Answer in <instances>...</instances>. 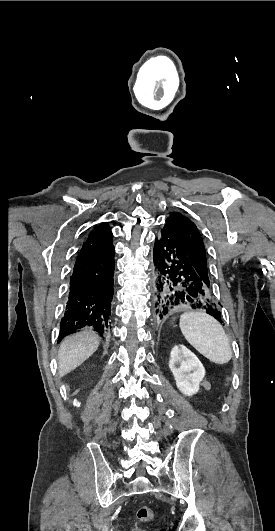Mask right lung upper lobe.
<instances>
[{
  "label": "right lung upper lobe",
  "mask_w": 275,
  "mask_h": 531,
  "mask_svg": "<svg viewBox=\"0 0 275 531\" xmlns=\"http://www.w3.org/2000/svg\"><path fill=\"white\" fill-rule=\"evenodd\" d=\"M103 224L106 225V226H108V224H106V223H103Z\"/></svg>",
  "instance_id": "right-lung-upper-lobe-1"
}]
</instances>
